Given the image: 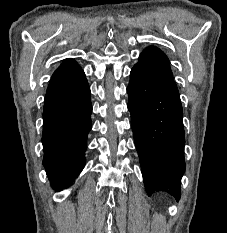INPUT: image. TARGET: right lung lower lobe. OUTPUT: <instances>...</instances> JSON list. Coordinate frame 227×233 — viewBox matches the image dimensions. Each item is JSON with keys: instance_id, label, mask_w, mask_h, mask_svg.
I'll return each mask as SVG.
<instances>
[{"instance_id": "1", "label": "right lung lower lobe", "mask_w": 227, "mask_h": 233, "mask_svg": "<svg viewBox=\"0 0 227 233\" xmlns=\"http://www.w3.org/2000/svg\"><path fill=\"white\" fill-rule=\"evenodd\" d=\"M91 112L86 79L44 104L43 165L55 190L67 188L85 165Z\"/></svg>"}]
</instances>
